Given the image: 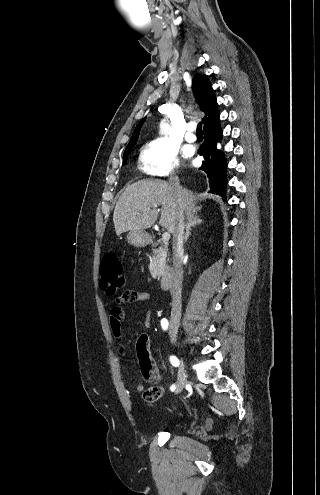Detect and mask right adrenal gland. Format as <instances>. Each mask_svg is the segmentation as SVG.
<instances>
[{
	"label": "right adrenal gland",
	"mask_w": 320,
	"mask_h": 495,
	"mask_svg": "<svg viewBox=\"0 0 320 495\" xmlns=\"http://www.w3.org/2000/svg\"><path fill=\"white\" fill-rule=\"evenodd\" d=\"M203 223V220L200 219L199 215L196 213V214H193V215H190L187 217V223H186V233H185V237H184V243L187 242L189 236H190V230L192 227H194L195 225H199Z\"/></svg>",
	"instance_id": "right-adrenal-gland-1"
}]
</instances>
